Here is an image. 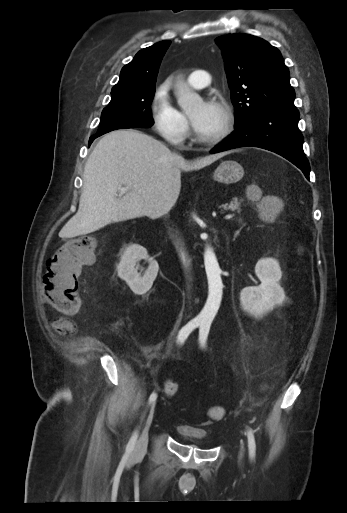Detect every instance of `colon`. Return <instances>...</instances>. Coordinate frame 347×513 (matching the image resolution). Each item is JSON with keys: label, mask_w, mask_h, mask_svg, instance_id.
I'll return each instance as SVG.
<instances>
[{"label": "colon", "mask_w": 347, "mask_h": 513, "mask_svg": "<svg viewBox=\"0 0 347 513\" xmlns=\"http://www.w3.org/2000/svg\"><path fill=\"white\" fill-rule=\"evenodd\" d=\"M247 199L251 203H260L266 210L268 215L261 214L262 220L270 223L275 221V214L281 208L278 201L264 202L255 188L247 192ZM95 246V239L91 236L76 237L62 244L48 260L43 277L44 289L49 304L58 312L75 313L81 308L78 277L82 267L93 261ZM164 390L168 397H175L179 393V385L169 381ZM223 414L220 407L210 410V416L215 420L221 419Z\"/></svg>", "instance_id": "colon-1"}]
</instances>
